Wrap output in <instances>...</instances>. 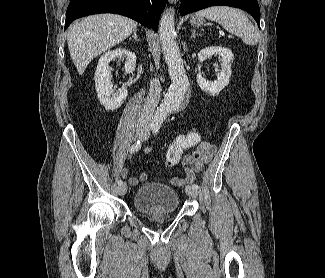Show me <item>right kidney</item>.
I'll return each mask as SVG.
<instances>
[{"mask_svg": "<svg viewBox=\"0 0 325 278\" xmlns=\"http://www.w3.org/2000/svg\"><path fill=\"white\" fill-rule=\"evenodd\" d=\"M115 58L125 59V73H133L136 66L135 53L125 48H117L101 56L95 72V89L101 105L106 110L118 109L128 93L125 88H119L117 91L113 89L109 63L115 60Z\"/></svg>", "mask_w": 325, "mask_h": 278, "instance_id": "1", "label": "right kidney"}]
</instances>
